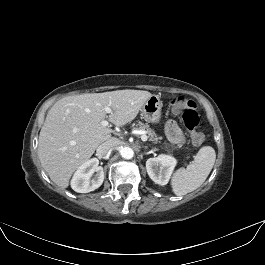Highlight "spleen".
<instances>
[{
    "mask_svg": "<svg viewBox=\"0 0 265 265\" xmlns=\"http://www.w3.org/2000/svg\"><path fill=\"white\" fill-rule=\"evenodd\" d=\"M216 159L211 146L202 147L187 168L178 169L171 181L172 191L181 196L200 187L211 172Z\"/></svg>",
    "mask_w": 265,
    "mask_h": 265,
    "instance_id": "obj_1",
    "label": "spleen"
}]
</instances>
